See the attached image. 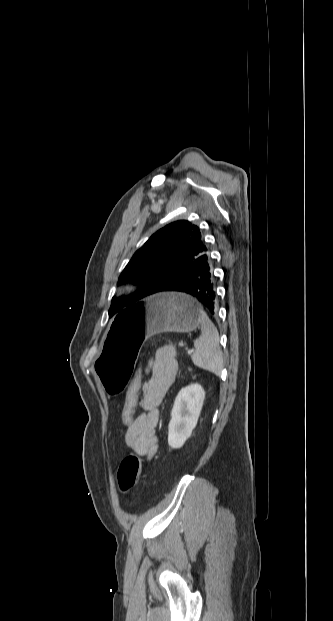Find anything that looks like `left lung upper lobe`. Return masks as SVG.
<instances>
[{"instance_id": "5c2ea615", "label": "left lung upper lobe", "mask_w": 333, "mask_h": 621, "mask_svg": "<svg viewBox=\"0 0 333 621\" xmlns=\"http://www.w3.org/2000/svg\"><path fill=\"white\" fill-rule=\"evenodd\" d=\"M207 249L199 228L187 220L173 222L154 233L135 252L119 277L118 285L133 281L139 285V291L127 298L113 297L109 316L159 293L168 281L188 269Z\"/></svg>"}]
</instances>
